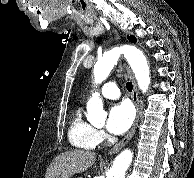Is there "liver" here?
<instances>
[{
  "mask_svg": "<svg viewBox=\"0 0 194 178\" xmlns=\"http://www.w3.org/2000/svg\"><path fill=\"white\" fill-rule=\"evenodd\" d=\"M96 160L95 153L71 150L58 155L47 169L45 178H69L86 171Z\"/></svg>",
  "mask_w": 194,
  "mask_h": 178,
  "instance_id": "obj_1",
  "label": "liver"
}]
</instances>
